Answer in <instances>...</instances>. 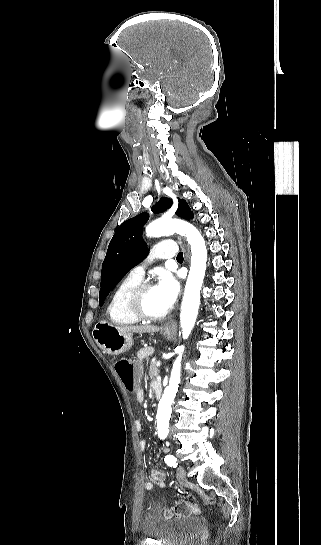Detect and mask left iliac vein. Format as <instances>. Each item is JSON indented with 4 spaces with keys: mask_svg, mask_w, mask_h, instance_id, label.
Here are the masks:
<instances>
[{
    "mask_svg": "<svg viewBox=\"0 0 321 545\" xmlns=\"http://www.w3.org/2000/svg\"><path fill=\"white\" fill-rule=\"evenodd\" d=\"M176 475H177V479L180 483H184L187 481V477H186V471L183 467L179 466L177 469H176Z\"/></svg>",
    "mask_w": 321,
    "mask_h": 545,
    "instance_id": "1",
    "label": "left iliac vein"
}]
</instances>
